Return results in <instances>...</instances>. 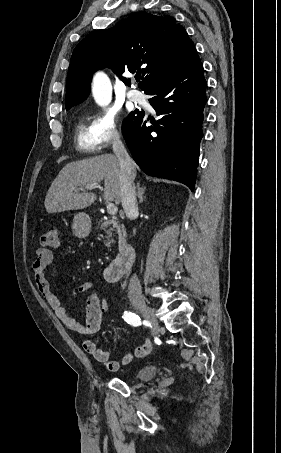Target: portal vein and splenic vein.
<instances>
[{
	"label": "portal vein and splenic vein",
	"instance_id": "1",
	"mask_svg": "<svg viewBox=\"0 0 281 453\" xmlns=\"http://www.w3.org/2000/svg\"><path fill=\"white\" fill-rule=\"evenodd\" d=\"M84 188H88V190H92V188H99V184H86V186H84ZM77 190H79V188H77ZM106 208H107V212H109V214H116L118 208L117 206H115L114 202H108V204H106Z\"/></svg>",
	"mask_w": 281,
	"mask_h": 453
}]
</instances>
